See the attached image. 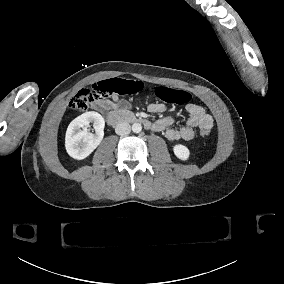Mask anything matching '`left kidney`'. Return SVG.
I'll list each match as a JSON object with an SVG mask.
<instances>
[{"label":"left kidney","mask_w":284,"mask_h":284,"mask_svg":"<svg viewBox=\"0 0 284 284\" xmlns=\"http://www.w3.org/2000/svg\"><path fill=\"white\" fill-rule=\"evenodd\" d=\"M174 154L181 160H187L189 158L190 152L189 149L181 144L175 145L174 148Z\"/></svg>","instance_id":"5707ae66"}]
</instances>
